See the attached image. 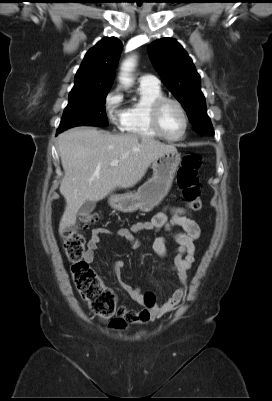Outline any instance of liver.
Returning <instances> with one entry per match:
<instances>
[{
	"label": "liver",
	"mask_w": 272,
	"mask_h": 401,
	"mask_svg": "<svg viewBox=\"0 0 272 401\" xmlns=\"http://www.w3.org/2000/svg\"><path fill=\"white\" fill-rule=\"evenodd\" d=\"M58 150L64 169L60 193L66 200L59 224L61 236L76 223L85 201H99L116 188L133 187L155 159L177 151L149 137L113 135L87 126L61 133ZM113 160H119L118 166H110Z\"/></svg>",
	"instance_id": "6515ba94"
}]
</instances>
